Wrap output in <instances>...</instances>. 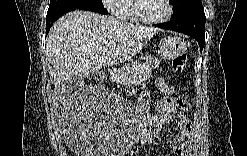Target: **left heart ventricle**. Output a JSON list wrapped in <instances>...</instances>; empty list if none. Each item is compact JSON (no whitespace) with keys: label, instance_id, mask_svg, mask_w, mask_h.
Segmentation results:
<instances>
[{"label":"left heart ventricle","instance_id":"b2bd125f","mask_svg":"<svg viewBox=\"0 0 247 156\" xmlns=\"http://www.w3.org/2000/svg\"><path fill=\"white\" fill-rule=\"evenodd\" d=\"M137 10L144 17H161L166 13V7L162 0L138 1Z\"/></svg>","mask_w":247,"mask_h":156}]
</instances>
